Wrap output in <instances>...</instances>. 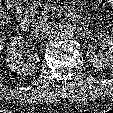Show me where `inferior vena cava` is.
Here are the masks:
<instances>
[{
	"mask_svg": "<svg viewBox=\"0 0 113 113\" xmlns=\"http://www.w3.org/2000/svg\"><path fill=\"white\" fill-rule=\"evenodd\" d=\"M52 28L53 24L51 22L40 23L37 26L36 31L41 34H47L52 30Z\"/></svg>",
	"mask_w": 113,
	"mask_h": 113,
	"instance_id": "602c4592",
	"label": "inferior vena cava"
}]
</instances>
